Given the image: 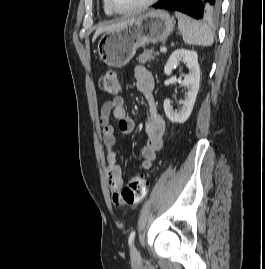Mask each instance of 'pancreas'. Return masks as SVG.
I'll return each mask as SVG.
<instances>
[{
  "mask_svg": "<svg viewBox=\"0 0 265 269\" xmlns=\"http://www.w3.org/2000/svg\"><path fill=\"white\" fill-rule=\"evenodd\" d=\"M159 55L158 52H155L153 49L146 50L137 58L140 64H146L154 59L155 56Z\"/></svg>",
  "mask_w": 265,
  "mask_h": 269,
  "instance_id": "pancreas-1",
  "label": "pancreas"
}]
</instances>
